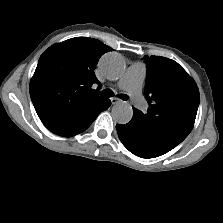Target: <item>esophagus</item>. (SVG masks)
Wrapping results in <instances>:
<instances>
[{
  "mask_svg": "<svg viewBox=\"0 0 223 223\" xmlns=\"http://www.w3.org/2000/svg\"><path fill=\"white\" fill-rule=\"evenodd\" d=\"M119 102H121V100H120L119 98H117V97H113V98H111V103H112L113 105H115V104H117V103H119Z\"/></svg>",
  "mask_w": 223,
  "mask_h": 223,
  "instance_id": "obj_1",
  "label": "esophagus"
}]
</instances>
